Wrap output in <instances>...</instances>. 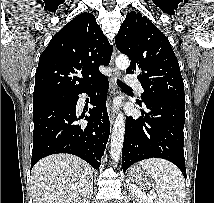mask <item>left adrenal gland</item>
<instances>
[{
	"mask_svg": "<svg viewBox=\"0 0 214 203\" xmlns=\"http://www.w3.org/2000/svg\"><path fill=\"white\" fill-rule=\"evenodd\" d=\"M131 197H132V194H131V191L129 190V196H128V198L131 200Z\"/></svg>",
	"mask_w": 214,
	"mask_h": 203,
	"instance_id": "left-adrenal-gland-1",
	"label": "left adrenal gland"
}]
</instances>
